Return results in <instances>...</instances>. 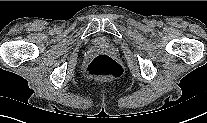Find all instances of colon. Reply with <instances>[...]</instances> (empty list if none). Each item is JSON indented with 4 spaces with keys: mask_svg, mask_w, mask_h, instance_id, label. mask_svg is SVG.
I'll return each mask as SVG.
<instances>
[{
    "mask_svg": "<svg viewBox=\"0 0 207 123\" xmlns=\"http://www.w3.org/2000/svg\"><path fill=\"white\" fill-rule=\"evenodd\" d=\"M122 73V67L110 56L101 54L89 61L84 74L88 78L115 77Z\"/></svg>",
    "mask_w": 207,
    "mask_h": 123,
    "instance_id": "colon-1",
    "label": "colon"
}]
</instances>
